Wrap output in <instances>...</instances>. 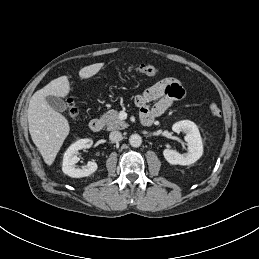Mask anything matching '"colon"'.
<instances>
[{
  "label": "colon",
  "instance_id": "1",
  "mask_svg": "<svg viewBox=\"0 0 259 259\" xmlns=\"http://www.w3.org/2000/svg\"><path fill=\"white\" fill-rule=\"evenodd\" d=\"M127 71L131 74L145 75V76H155L158 73V69L153 65L141 64L136 66H130L127 68ZM66 115L70 120H75L78 117L79 110L72 99H67L65 103ZM209 111L214 117L221 115L220 108L211 104L209 106Z\"/></svg>",
  "mask_w": 259,
  "mask_h": 259
}]
</instances>
